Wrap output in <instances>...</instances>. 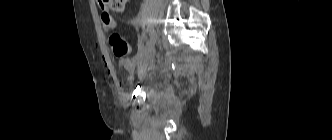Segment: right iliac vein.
Wrapping results in <instances>:
<instances>
[{
    "instance_id": "right-iliac-vein-1",
    "label": "right iliac vein",
    "mask_w": 332,
    "mask_h": 140,
    "mask_svg": "<svg viewBox=\"0 0 332 140\" xmlns=\"http://www.w3.org/2000/svg\"><path fill=\"white\" fill-rule=\"evenodd\" d=\"M155 43H156V35H155V33H152L149 38L146 48H145L142 56L140 57V60L146 61L152 57V51H153Z\"/></svg>"
}]
</instances>
